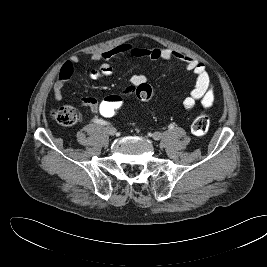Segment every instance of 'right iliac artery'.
<instances>
[{
  "mask_svg": "<svg viewBox=\"0 0 267 267\" xmlns=\"http://www.w3.org/2000/svg\"><path fill=\"white\" fill-rule=\"evenodd\" d=\"M93 121H94L95 123H97V124H101V125H110L109 122H107V121H105V120H103V119H97V118H95V119H93Z\"/></svg>",
  "mask_w": 267,
  "mask_h": 267,
  "instance_id": "1",
  "label": "right iliac artery"
}]
</instances>
